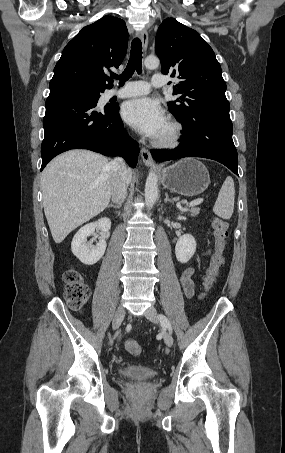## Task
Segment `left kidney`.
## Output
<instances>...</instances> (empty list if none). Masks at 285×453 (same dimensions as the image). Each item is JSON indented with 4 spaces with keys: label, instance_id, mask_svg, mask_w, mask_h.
<instances>
[{
    "label": "left kidney",
    "instance_id": "left-kidney-1",
    "mask_svg": "<svg viewBox=\"0 0 285 453\" xmlns=\"http://www.w3.org/2000/svg\"><path fill=\"white\" fill-rule=\"evenodd\" d=\"M196 251V241L191 234L181 236L175 246L176 258L180 263H187Z\"/></svg>",
    "mask_w": 285,
    "mask_h": 453
}]
</instances>
